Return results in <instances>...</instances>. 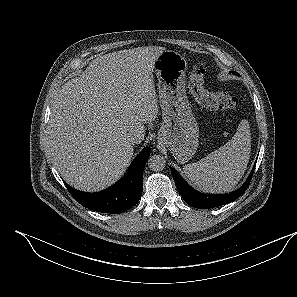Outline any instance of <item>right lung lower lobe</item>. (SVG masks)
<instances>
[{"mask_svg": "<svg viewBox=\"0 0 297 297\" xmlns=\"http://www.w3.org/2000/svg\"><path fill=\"white\" fill-rule=\"evenodd\" d=\"M149 156L150 148L146 147L132 162L126 175L118 183L98 193L81 192L64 184L82 206L102 213H122L136 205L141 198L143 170Z\"/></svg>", "mask_w": 297, "mask_h": 297, "instance_id": "1", "label": "right lung lower lobe"}]
</instances>
